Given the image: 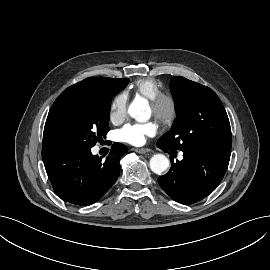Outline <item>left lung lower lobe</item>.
I'll return each instance as SVG.
<instances>
[{
    "label": "left lung lower lobe",
    "instance_id": "obj_1",
    "mask_svg": "<svg viewBox=\"0 0 270 270\" xmlns=\"http://www.w3.org/2000/svg\"><path fill=\"white\" fill-rule=\"evenodd\" d=\"M157 146L168 151L165 146ZM183 160L158 178L162 189L181 204L196 203L211 194L220 184L229 164L231 149L193 147L183 151Z\"/></svg>",
    "mask_w": 270,
    "mask_h": 270
}]
</instances>
